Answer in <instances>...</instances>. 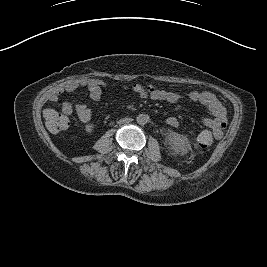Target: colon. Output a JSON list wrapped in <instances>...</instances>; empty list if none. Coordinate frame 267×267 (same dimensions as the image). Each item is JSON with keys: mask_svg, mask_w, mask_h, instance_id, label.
Here are the masks:
<instances>
[{"mask_svg": "<svg viewBox=\"0 0 267 267\" xmlns=\"http://www.w3.org/2000/svg\"><path fill=\"white\" fill-rule=\"evenodd\" d=\"M154 91L155 90L152 87L147 88V92L149 93H153ZM44 114L46 125L51 132L60 133L68 128L69 120L63 114L58 113L51 108H46ZM195 146L199 152L205 153L210 149L211 143L209 142L207 137L198 135L195 140Z\"/></svg>", "mask_w": 267, "mask_h": 267, "instance_id": "obj_1", "label": "colon"}]
</instances>
